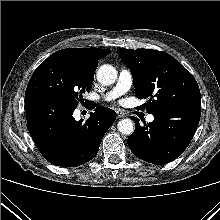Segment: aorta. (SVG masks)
Returning a JSON list of instances; mask_svg holds the SVG:
<instances>
[{"instance_id":"1","label":"aorta","mask_w":220,"mask_h":220,"mask_svg":"<svg viewBox=\"0 0 220 220\" xmlns=\"http://www.w3.org/2000/svg\"><path fill=\"white\" fill-rule=\"evenodd\" d=\"M117 74V70L112 65L104 64L97 71V80L102 85L108 86L116 81ZM117 127L123 135H131L134 132V122L129 118L120 120Z\"/></svg>"}]
</instances>
